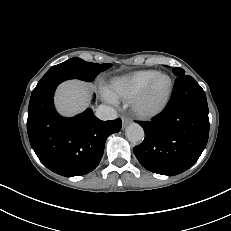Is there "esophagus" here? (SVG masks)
<instances>
[{
    "instance_id": "1",
    "label": "esophagus",
    "mask_w": 231,
    "mask_h": 231,
    "mask_svg": "<svg viewBox=\"0 0 231 231\" xmlns=\"http://www.w3.org/2000/svg\"><path fill=\"white\" fill-rule=\"evenodd\" d=\"M130 123H131V120L129 118H126V117L122 118V126H123V128H125Z\"/></svg>"
}]
</instances>
